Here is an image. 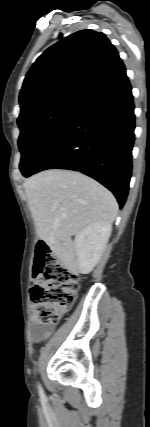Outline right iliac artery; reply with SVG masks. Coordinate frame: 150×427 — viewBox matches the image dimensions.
Wrapping results in <instances>:
<instances>
[{
    "label": "right iliac artery",
    "instance_id": "right-iliac-artery-1",
    "mask_svg": "<svg viewBox=\"0 0 150 427\" xmlns=\"http://www.w3.org/2000/svg\"><path fill=\"white\" fill-rule=\"evenodd\" d=\"M39 394L41 397H44V392H43V389L40 385H39Z\"/></svg>",
    "mask_w": 150,
    "mask_h": 427
}]
</instances>
